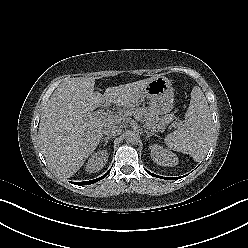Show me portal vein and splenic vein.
Here are the masks:
<instances>
[{"mask_svg": "<svg viewBox=\"0 0 248 248\" xmlns=\"http://www.w3.org/2000/svg\"><path fill=\"white\" fill-rule=\"evenodd\" d=\"M108 117H109V118H114L115 116L109 115ZM136 119H137L138 121H141L139 117H136ZM176 126H179V124H176ZM153 131H156V130H153Z\"/></svg>", "mask_w": 248, "mask_h": 248, "instance_id": "portal-vein-and-splenic-vein-1", "label": "portal vein and splenic vein"}]
</instances>
